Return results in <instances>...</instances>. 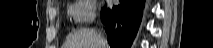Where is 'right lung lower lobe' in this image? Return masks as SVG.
Instances as JSON below:
<instances>
[{"label": "right lung lower lobe", "instance_id": "98d812e1", "mask_svg": "<svg viewBox=\"0 0 213 48\" xmlns=\"http://www.w3.org/2000/svg\"><path fill=\"white\" fill-rule=\"evenodd\" d=\"M112 9L102 8L100 16L106 26L111 48L131 46L140 25L145 0H119Z\"/></svg>", "mask_w": 213, "mask_h": 48}]
</instances>
